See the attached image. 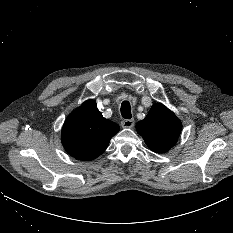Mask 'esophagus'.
<instances>
[{
    "mask_svg": "<svg viewBox=\"0 0 233 233\" xmlns=\"http://www.w3.org/2000/svg\"><path fill=\"white\" fill-rule=\"evenodd\" d=\"M133 125H134V120L133 119H124L121 122V126L123 128H131V127H133Z\"/></svg>",
    "mask_w": 233,
    "mask_h": 233,
    "instance_id": "esophagus-1",
    "label": "esophagus"
}]
</instances>
